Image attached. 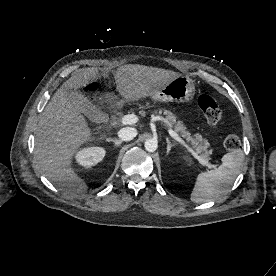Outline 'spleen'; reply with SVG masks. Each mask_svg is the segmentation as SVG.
Segmentation results:
<instances>
[{"instance_id": "obj_1", "label": "spleen", "mask_w": 276, "mask_h": 276, "mask_svg": "<svg viewBox=\"0 0 276 276\" xmlns=\"http://www.w3.org/2000/svg\"><path fill=\"white\" fill-rule=\"evenodd\" d=\"M243 160L242 151L234 150L222 157V163L217 169L198 174L191 201L205 203L225 194L238 176Z\"/></svg>"}]
</instances>
